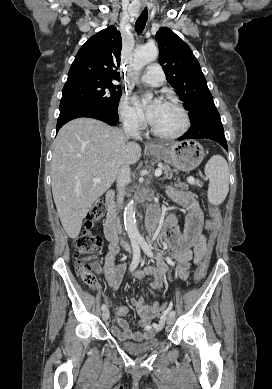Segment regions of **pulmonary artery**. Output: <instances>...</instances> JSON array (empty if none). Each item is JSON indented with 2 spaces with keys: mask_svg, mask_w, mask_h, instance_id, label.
Wrapping results in <instances>:
<instances>
[{
  "mask_svg": "<svg viewBox=\"0 0 272 389\" xmlns=\"http://www.w3.org/2000/svg\"><path fill=\"white\" fill-rule=\"evenodd\" d=\"M142 81L151 86H159L165 80V74L162 67L157 63H151L147 66L145 73L141 77Z\"/></svg>",
  "mask_w": 272,
  "mask_h": 389,
  "instance_id": "e3ab8cb5",
  "label": "pulmonary artery"
}]
</instances>
